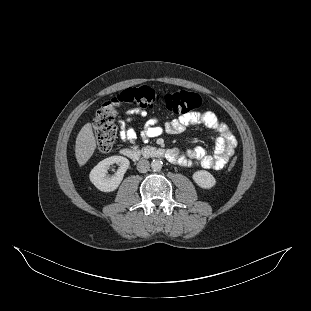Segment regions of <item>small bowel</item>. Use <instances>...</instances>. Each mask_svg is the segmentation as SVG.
<instances>
[{
	"mask_svg": "<svg viewBox=\"0 0 311 311\" xmlns=\"http://www.w3.org/2000/svg\"><path fill=\"white\" fill-rule=\"evenodd\" d=\"M135 114L146 119L139 133L144 141L159 137L164 133H181L191 125H203L218 134L212 154H209L201 146H196L186 152L171 149L173 153V160L171 162L181 167L192 168L201 166L204 169L221 170L234 154V149L237 145L236 137L229 126L220 121L212 111L183 114L177 119L161 125L158 119L147 118V112L144 110H129L126 112L125 117L119 120L120 138L125 143L133 142L138 136L137 131L129 125Z\"/></svg>",
	"mask_w": 311,
	"mask_h": 311,
	"instance_id": "small-bowel-1",
	"label": "small bowel"
}]
</instances>
